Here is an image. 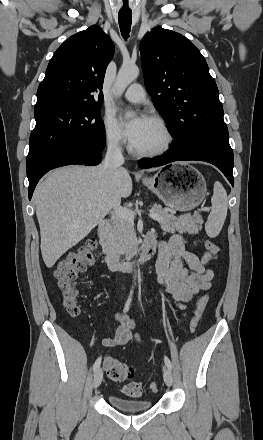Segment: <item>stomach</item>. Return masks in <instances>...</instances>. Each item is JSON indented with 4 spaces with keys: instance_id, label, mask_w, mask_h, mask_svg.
<instances>
[{
    "instance_id": "1",
    "label": "stomach",
    "mask_w": 263,
    "mask_h": 440,
    "mask_svg": "<svg viewBox=\"0 0 263 440\" xmlns=\"http://www.w3.org/2000/svg\"><path fill=\"white\" fill-rule=\"evenodd\" d=\"M171 171L157 173L143 183L173 210L185 212L199 206L207 192L202 174L191 166H173Z\"/></svg>"
}]
</instances>
